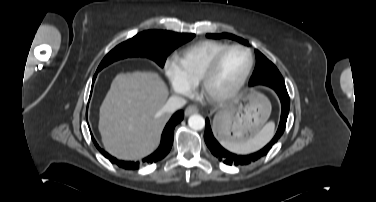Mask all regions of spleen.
I'll return each instance as SVG.
<instances>
[{
    "mask_svg": "<svg viewBox=\"0 0 376 202\" xmlns=\"http://www.w3.org/2000/svg\"><path fill=\"white\" fill-rule=\"evenodd\" d=\"M275 130V123L268 122L262 130L253 138L244 142H223L221 144L227 150L237 154H248L258 151L264 147L273 137Z\"/></svg>",
    "mask_w": 376,
    "mask_h": 202,
    "instance_id": "obj_1",
    "label": "spleen"
}]
</instances>
